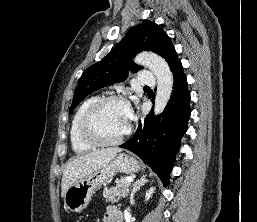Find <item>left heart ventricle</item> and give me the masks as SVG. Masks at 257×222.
Masks as SVG:
<instances>
[{"mask_svg": "<svg viewBox=\"0 0 257 222\" xmlns=\"http://www.w3.org/2000/svg\"><path fill=\"white\" fill-rule=\"evenodd\" d=\"M128 108L120 103H110L103 107L93 120L96 133L105 140H114L129 127Z\"/></svg>", "mask_w": 257, "mask_h": 222, "instance_id": "1", "label": "left heart ventricle"}]
</instances>
